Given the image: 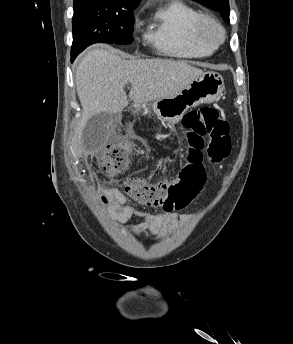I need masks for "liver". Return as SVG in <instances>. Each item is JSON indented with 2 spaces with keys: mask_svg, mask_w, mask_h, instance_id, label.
<instances>
[{
  "mask_svg": "<svg viewBox=\"0 0 293 344\" xmlns=\"http://www.w3.org/2000/svg\"><path fill=\"white\" fill-rule=\"evenodd\" d=\"M202 74L201 69L184 61L125 60L113 50L89 51L76 70V89L83 113L72 140L73 152L82 154L83 127L92 116L101 112L115 114L128 105L124 91L128 82L130 99L142 104L177 95Z\"/></svg>",
  "mask_w": 293,
  "mask_h": 344,
  "instance_id": "liver-1",
  "label": "liver"
}]
</instances>
